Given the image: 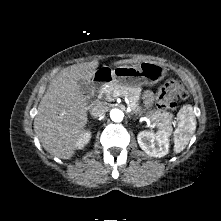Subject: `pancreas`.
<instances>
[{
    "mask_svg": "<svg viewBox=\"0 0 221 221\" xmlns=\"http://www.w3.org/2000/svg\"><path fill=\"white\" fill-rule=\"evenodd\" d=\"M103 93L106 96L107 101H112L116 97L128 98V106L135 112H140L139 99L141 94L140 88H130L123 86L117 82L110 83L107 88H104ZM148 118L153 122L152 128L155 126L159 129L160 135L169 136L172 131L171 119L172 115L167 112H161L159 110L150 112Z\"/></svg>",
    "mask_w": 221,
    "mask_h": 221,
    "instance_id": "cf45deb5",
    "label": "pancreas"
}]
</instances>
